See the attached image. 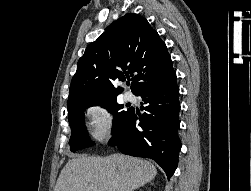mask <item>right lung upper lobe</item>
I'll use <instances>...</instances> for the list:
<instances>
[{
    "label": "right lung upper lobe",
    "instance_id": "cb5924a9",
    "mask_svg": "<svg viewBox=\"0 0 251 191\" xmlns=\"http://www.w3.org/2000/svg\"><path fill=\"white\" fill-rule=\"evenodd\" d=\"M165 43L148 21L128 13L90 43L77 63L67 108L114 100L123 89L116 81L132 77L133 94L174 73Z\"/></svg>",
    "mask_w": 251,
    "mask_h": 191
}]
</instances>
